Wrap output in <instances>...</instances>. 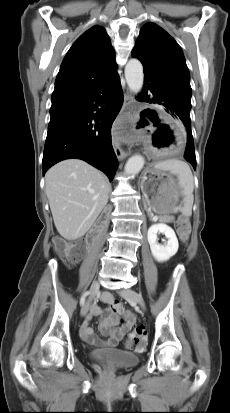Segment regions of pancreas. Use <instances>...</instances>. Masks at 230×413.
Instances as JSON below:
<instances>
[{"label":"pancreas","instance_id":"cf45deb5","mask_svg":"<svg viewBox=\"0 0 230 413\" xmlns=\"http://www.w3.org/2000/svg\"><path fill=\"white\" fill-rule=\"evenodd\" d=\"M165 222H172L174 221V217L173 216H166L162 219Z\"/></svg>","mask_w":230,"mask_h":413}]
</instances>
